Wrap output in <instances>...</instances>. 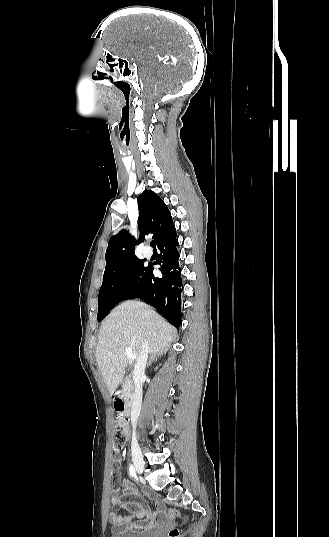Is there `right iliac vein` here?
Masks as SVG:
<instances>
[{"label": "right iliac vein", "instance_id": "63e3f726", "mask_svg": "<svg viewBox=\"0 0 329 537\" xmlns=\"http://www.w3.org/2000/svg\"><path fill=\"white\" fill-rule=\"evenodd\" d=\"M132 458H133V462H134L136 472L138 474H141L143 472V469H144V460H143V458L141 456V453L138 450V447H137L136 444H134V446H133Z\"/></svg>", "mask_w": 329, "mask_h": 537}]
</instances>
